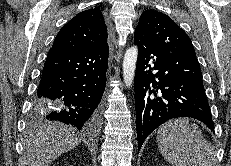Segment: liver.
Listing matches in <instances>:
<instances>
[{
	"instance_id": "6515ba94",
	"label": "liver",
	"mask_w": 231,
	"mask_h": 166,
	"mask_svg": "<svg viewBox=\"0 0 231 166\" xmlns=\"http://www.w3.org/2000/svg\"><path fill=\"white\" fill-rule=\"evenodd\" d=\"M80 138L76 129L60 122H46L29 131L24 141L27 166H48L62 154L72 150Z\"/></svg>"
}]
</instances>
